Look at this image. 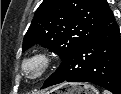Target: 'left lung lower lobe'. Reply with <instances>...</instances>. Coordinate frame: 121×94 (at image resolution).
<instances>
[{
    "instance_id": "0a47b994",
    "label": "left lung lower lobe",
    "mask_w": 121,
    "mask_h": 94,
    "mask_svg": "<svg viewBox=\"0 0 121 94\" xmlns=\"http://www.w3.org/2000/svg\"><path fill=\"white\" fill-rule=\"evenodd\" d=\"M65 81L90 82L121 94V41L115 20L63 60L42 89Z\"/></svg>"
}]
</instances>
